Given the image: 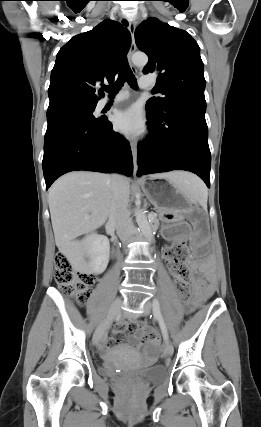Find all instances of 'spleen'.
<instances>
[{
	"mask_svg": "<svg viewBox=\"0 0 261 427\" xmlns=\"http://www.w3.org/2000/svg\"><path fill=\"white\" fill-rule=\"evenodd\" d=\"M177 184L191 202L204 208L207 207L208 191L199 178L192 174L184 173L183 178Z\"/></svg>",
	"mask_w": 261,
	"mask_h": 427,
	"instance_id": "1",
	"label": "spleen"
}]
</instances>
